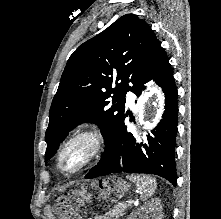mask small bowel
<instances>
[{"instance_id":"1","label":"small bowel","mask_w":221,"mask_h":219,"mask_svg":"<svg viewBox=\"0 0 221 219\" xmlns=\"http://www.w3.org/2000/svg\"><path fill=\"white\" fill-rule=\"evenodd\" d=\"M95 219H107V218H103V217H96Z\"/></svg>"}]
</instances>
